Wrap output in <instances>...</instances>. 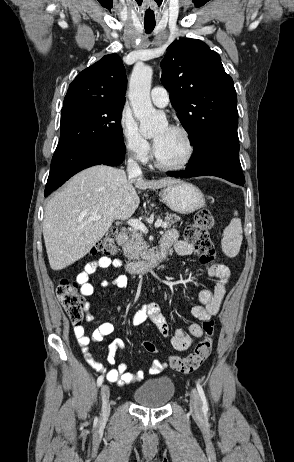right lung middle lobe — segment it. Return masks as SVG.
I'll return each mask as SVG.
<instances>
[{
  "mask_svg": "<svg viewBox=\"0 0 294 462\" xmlns=\"http://www.w3.org/2000/svg\"><path fill=\"white\" fill-rule=\"evenodd\" d=\"M125 101L77 100L63 105L56 149L75 143L123 142L120 125Z\"/></svg>",
  "mask_w": 294,
  "mask_h": 462,
  "instance_id": "right-lung-middle-lobe-1",
  "label": "right lung middle lobe"
}]
</instances>
